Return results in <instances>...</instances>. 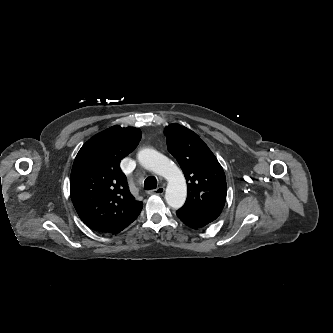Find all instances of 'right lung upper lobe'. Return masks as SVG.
Segmentation results:
<instances>
[{
    "label": "right lung upper lobe",
    "mask_w": 333,
    "mask_h": 333,
    "mask_svg": "<svg viewBox=\"0 0 333 333\" xmlns=\"http://www.w3.org/2000/svg\"><path fill=\"white\" fill-rule=\"evenodd\" d=\"M141 139L138 128L116 125L94 135L79 150L71 171L70 195L80 219L98 232L117 234L140 214L120 161Z\"/></svg>",
    "instance_id": "right-lung-upper-lobe-1"
}]
</instances>
